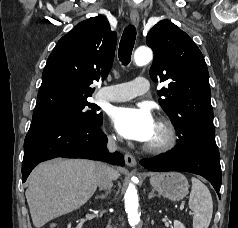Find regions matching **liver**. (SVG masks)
<instances>
[{"label":"liver","mask_w":238,"mask_h":228,"mask_svg":"<svg viewBox=\"0 0 238 228\" xmlns=\"http://www.w3.org/2000/svg\"><path fill=\"white\" fill-rule=\"evenodd\" d=\"M100 170L101 163L83 159L39 164L28 178L25 193L33 225L40 228L84 205L96 191ZM118 177V171L113 170L112 179Z\"/></svg>","instance_id":"obj_1"}]
</instances>
